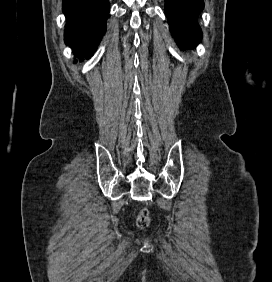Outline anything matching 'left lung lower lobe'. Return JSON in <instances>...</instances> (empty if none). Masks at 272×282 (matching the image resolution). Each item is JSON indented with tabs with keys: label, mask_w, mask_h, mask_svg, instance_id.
<instances>
[{
	"label": "left lung lower lobe",
	"mask_w": 272,
	"mask_h": 282,
	"mask_svg": "<svg viewBox=\"0 0 272 282\" xmlns=\"http://www.w3.org/2000/svg\"><path fill=\"white\" fill-rule=\"evenodd\" d=\"M204 7L203 0H165V11L172 34L180 47L194 48L201 39L197 16Z\"/></svg>",
	"instance_id": "left-lung-lower-lobe-1"
}]
</instances>
